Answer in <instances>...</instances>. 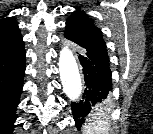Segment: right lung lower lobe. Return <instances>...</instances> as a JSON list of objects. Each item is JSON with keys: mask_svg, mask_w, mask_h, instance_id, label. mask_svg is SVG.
Wrapping results in <instances>:
<instances>
[{"mask_svg": "<svg viewBox=\"0 0 153 134\" xmlns=\"http://www.w3.org/2000/svg\"><path fill=\"white\" fill-rule=\"evenodd\" d=\"M24 72L23 41L0 52V134H12Z\"/></svg>", "mask_w": 153, "mask_h": 134, "instance_id": "98d812e1", "label": "right lung lower lobe"}]
</instances>
